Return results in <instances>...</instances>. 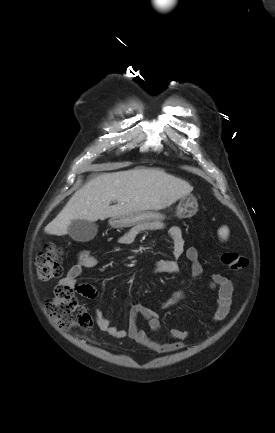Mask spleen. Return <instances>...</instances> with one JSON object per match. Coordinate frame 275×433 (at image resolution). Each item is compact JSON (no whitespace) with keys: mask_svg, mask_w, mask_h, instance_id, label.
Returning a JSON list of instances; mask_svg holds the SVG:
<instances>
[{"mask_svg":"<svg viewBox=\"0 0 275 433\" xmlns=\"http://www.w3.org/2000/svg\"><path fill=\"white\" fill-rule=\"evenodd\" d=\"M218 235L222 240H226L229 235V229L227 226H223L218 230Z\"/></svg>","mask_w":275,"mask_h":433,"instance_id":"obj_1","label":"spleen"}]
</instances>
